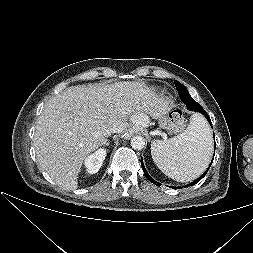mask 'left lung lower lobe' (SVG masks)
<instances>
[{"instance_id": "left-lung-lower-lobe-1", "label": "left lung lower lobe", "mask_w": 253, "mask_h": 253, "mask_svg": "<svg viewBox=\"0 0 253 253\" xmlns=\"http://www.w3.org/2000/svg\"><path fill=\"white\" fill-rule=\"evenodd\" d=\"M191 111H196V112H200L201 114H203V115L205 116V118L208 120V122L210 123V125L212 126V122H211V120H210L208 114L206 113V111H205L198 103L196 104L195 107L191 108ZM214 140H215V137H214ZM214 154H215V152H214ZM213 159H214V156H213ZM212 162H213V160H212ZM212 162L210 163L208 169H207L199 178H197V179L194 180L192 183H190V184H188V185H186V186H184V187H187V186H189V185H195V184H197V183L206 175V173L208 172V170H209V168H210ZM141 166H142V169H143V172H144L146 178H147L151 183H153V184H155V185H157V186H160L161 184L158 183V182H156V181H155L153 178H151V177L149 176V174L147 173L142 158H141ZM172 188H173V189H178L179 187H172Z\"/></svg>"}]
</instances>
